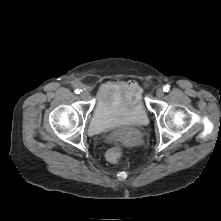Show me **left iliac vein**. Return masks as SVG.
I'll list each match as a JSON object with an SVG mask.
<instances>
[{"label": "left iliac vein", "instance_id": "obj_1", "mask_svg": "<svg viewBox=\"0 0 221 221\" xmlns=\"http://www.w3.org/2000/svg\"><path fill=\"white\" fill-rule=\"evenodd\" d=\"M163 95H164V90H163L162 88H158V89L156 90V96H157L158 98H161Z\"/></svg>", "mask_w": 221, "mask_h": 221}]
</instances>
